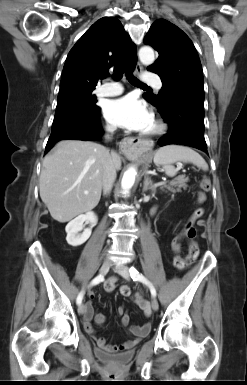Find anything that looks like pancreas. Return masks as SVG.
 Wrapping results in <instances>:
<instances>
[{
  "instance_id": "obj_1",
  "label": "pancreas",
  "mask_w": 247,
  "mask_h": 385,
  "mask_svg": "<svg viewBox=\"0 0 247 385\" xmlns=\"http://www.w3.org/2000/svg\"><path fill=\"white\" fill-rule=\"evenodd\" d=\"M188 181L189 179L185 175H179L174 180L170 181L168 185H163L161 189L166 188L168 191L171 192H180L181 188H187Z\"/></svg>"
}]
</instances>
